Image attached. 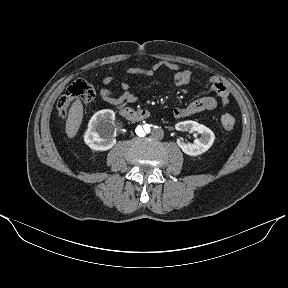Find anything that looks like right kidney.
Masks as SVG:
<instances>
[{"instance_id":"obj_1","label":"right kidney","mask_w":288,"mask_h":288,"mask_svg":"<svg viewBox=\"0 0 288 288\" xmlns=\"http://www.w3.org/2000/svg\"><path fill=\"white\" fill-rule=\"evenodd\" d=\"M115 120L112 110H101L96 112L88 123V129L84 134V142L93 150L106 151L111 149L116 140L111 131L108 132L106 125Z\"/></svg>"}]
</instances>
